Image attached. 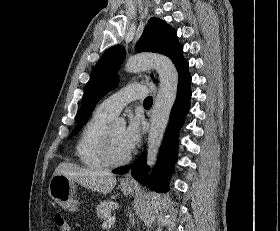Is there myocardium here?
I'll return each mask as SVG.
<instances>
[{
  "label": "myocardium",
  "mask_w": 280,
  "mask_h": 231,
  "mask_svg": "<svg viewBox=\"0 0 280 231\" xmlns=\"http://www.w3.org/2000/svg\"><path fill=\"white\" fill-rule=\"evenodd\" d=\"M100 153L108 166H120L129 161L130 155H125L121 158L113 156L110 146V125H107L102 133L100 140Z\"/></svg>",
  "instance_id": "myocardium-1"
}]
</instances>
